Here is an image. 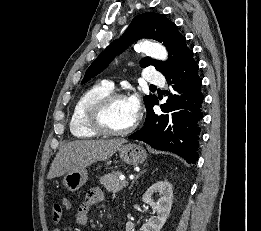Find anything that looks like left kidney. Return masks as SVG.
I'll return each mask as SVG.
<instances>
[{"instance_id":"1","label":"left kidney","mask_w":261,"mask_h":231,"mask_svg":"<svg viewBox=\"0 0 261 231\" xmlns=\"http://www.w3.org/2000/svg\"><path fill=\"white\" fill-rule=\"evenodd\" d=\"M159 193L160 198L154 202L153 195ZM144 203L150 205L153 209V214L146 224H144L140 231H160L164 226L173 202V187L167 181H158L148 188L142 197ZM126 231H134V224L132 222L126 223Z\"/></svg>"}]
</instances>
